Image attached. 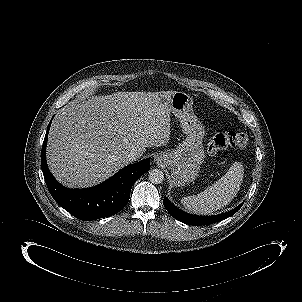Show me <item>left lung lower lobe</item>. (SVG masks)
<instances>
[{"label": "left lung lower lobe", "mask_w": 302, "mask_h": 302, "mask_svg": "<svg viewBox=\"0 0 302 302\" xmlns=\"http://www.w3.org/2000/svg\"><path fill=\"white\" fill-rule=\"evenodd\" d=\"M242 204H240L239 206H237L236 208H234L233 210H231L229 212L222 213L219 215L197 216V215H190V214H187V213L179 210L168 200V198H164V200H163V205L165 206L166 210L170 213V215H172V217H174L178 221H181L185 224L194 225V226L212 224V223H216L222 219H225L227 217H230L241 208Z\"/></svg>", "instance_id": "0a47b994"}]
</instances>
